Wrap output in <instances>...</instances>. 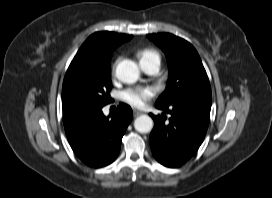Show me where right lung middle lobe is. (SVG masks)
Returning <instances> with one entry per match:
<instances>
[{
  "label": "right lung middle lobe",
  "instance_id": "dd1d6c3e",
  "mask_svg": "<svg viewBox=\"0 0 272 198\" xmlns=\"http://www.w3.org/2000/svg\"><path fill=\"white\" fill-rule=\"evenodd\" d=\"M111 86L109 62L99 66L76 83L74 97L78 108L103 107L108 104Z\"/></svg>",
  "mask_w": 272,
  "mask_h": 198
}]
</instances>
